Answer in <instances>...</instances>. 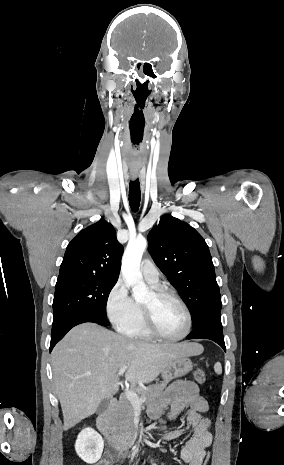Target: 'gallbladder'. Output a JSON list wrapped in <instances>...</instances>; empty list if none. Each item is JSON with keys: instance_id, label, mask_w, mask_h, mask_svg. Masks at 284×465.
Listing matches in <instances>:
<instances>
[{"instance_id": "obj_1", "label": "gallbladder", "mask_w": 284, "mask_h": 465, "mask_svg": "<svg viewBox=\"0 0 284 465\" xmlns=\"http://www.w3.org/2000/svg\"><path fill=\"white\" fill-rule=\"evenodd\" d=\"M109 401L110 399H103V401H101L96 413H98V415H100V413H104V411H107V407L109 405Z\"/></svg>"}]
</instances>
